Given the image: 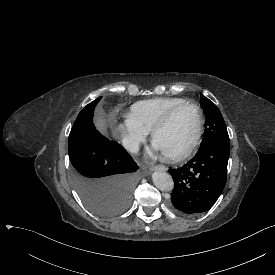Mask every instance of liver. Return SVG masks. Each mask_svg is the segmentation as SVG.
Listing matches in <instances>:
<instances>
[{
    "label": "liver",
    "mask_w": 275,
    "mask_h": 275,
    "mask_svg": "<svg viewBox=\"0 0 275 275\" xmlns=\"http://www.w3.org/2000/svg\"><path fill=\"white\" fill-rule=\"evenodd\" d=\"M94 125L95 128L102 134V135H106L107 133V125L104 119L96 117L94 119Z\"/></svg>",
    "instance_id": "liver-1"
}]
</instances>
